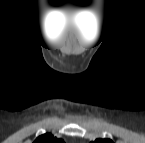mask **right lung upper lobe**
Returning a JSON list of instances; mask_svg holds the SVG:
<instances>
[{"mask_svg": "<svg viewBox=\"0 0 145 143\" xmlns=\"http://www.w3.org/2000/svg\"><path fill=\"white\" fill-rule=\"evenodd\" d=\"M33 143H63V140L57 139L52 134L46 133L37 137Z\"/></svg>", "mask_w": 145, "mask_h": 143, "instance_id": "cb5924a9", "label": "right lung upper lobe"}]
</instances>
